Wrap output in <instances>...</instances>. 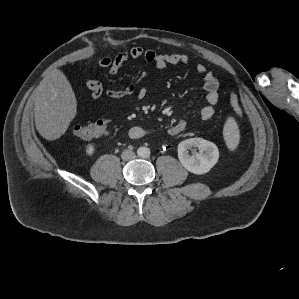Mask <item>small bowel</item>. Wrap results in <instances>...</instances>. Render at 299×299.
<instances>
[{
    "label": "small bowel",
    "mask_w": 299,
    "mask_h": 299,
    "mask_svg": "<svg viewBox=\"0 0 299 299\" xmlns=\"http://www.w3.org/2000/svg\"><path fill=\"white\" fill-rule=\"evenodd\" d=\"M143 58L148 63L154 64L156 69L163 70L168 65L187 64L189 57L185 54L174 53L164 54L156 53L153 50L142 47H133L129 51L120 52L115 57L105 56L99 60V66L108 70L111 75H116L121 67L129 60ZM196 71L203 77V88L205 91V100L207 105L200 109L198 117L207 122L215 115V105L219 101V82L214 74L207 70L203 64L196 65ZM148 76V70L143 69L137 76L134 83L126 86L123 89H108L104 90L102 84L96 79H88L86 86L91 93V98L96 100L103 95L110 99H121L126 96L136 94L137 98L142 99L148 94V89L139 87L140 83ZM187 122L181 120L172 126L168 133L172 136L181 133L185 130ZM129 135L133 139H140L145 135V130L141 126H133Z\"/></svg>",
    "instance_id": "obj_1"
}]
</instances>
